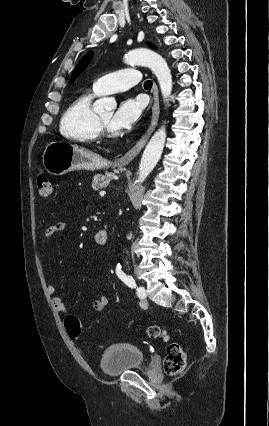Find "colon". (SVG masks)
I'll return each mask as SVG.
<instances>
[{"label": "colon", "instance_id": "1", "mask_svg": "<svg viewBox=\"0 0 269 426\" xmlns=\"http://www.w3.org/2000/svg\"><path fill=\"white\" fill-rule=\"evenodd\" d=\"M36 182L38 192L42 197L50 198L53 195V185L44 172H39ZM65 328L70 338L77 339L80 337L81 326L76 316L68 315L65 318ZM146 335L150 339L162 340L167 343L166 358L164 360L165 372L170 376H177L182 373L187 363V355L182 345L178 341L171 339L167 330L158 325L148 326Z\"/></svg>", "mask_w": 269, "mask_h": 426}]
</instances>
